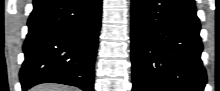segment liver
<instances>
[{"mask_svg": "<svg viewBox=\"0 0 220 91\" xmlns=\"http://www.w3.org/2000/svg\"><path fill=\"white\" fill-rule=\"evenodd\" d=\"M31 91H78V90L57 84H41L32 88Z\"/></svg>", "mask_w": 220, "mask_h": 91, "instance_id": "1", "label": "liver"}]
</instances>
